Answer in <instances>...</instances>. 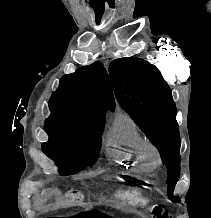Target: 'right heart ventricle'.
<instances>
[{
    "label": "right heart ventricle",
    "mask_w": 211,
    "mask_h": 218,
    "mask_svg": "<svg viewBox=\"0 0 211 218\" xmlns=\"http://www.w3.org/2000/svg\"><path fill=\"white\" fill-rule=\"evenodd\" d=\"M107 139L111 143H120L104 145L109 157H117L112 161L113 165H123V169H147L150 161L139 160L142 158V150L147 141L128 112L118 111L115 114Z\"/></svg>",
    "instance_id": "e07e8e85"
}]
</instances>
